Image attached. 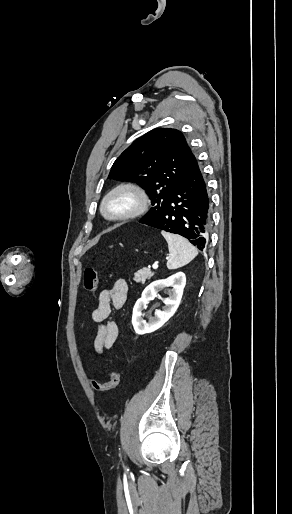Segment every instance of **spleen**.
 <instances>
[{"instance_id": "3e777b00", "label": "spleen", "mask_w": 292, "mask_h": 514, "mask_svg": "<svg viewBox=\"0 0 292 514\" xmlns=\"http://www.w3.org/2000/svg\"><path fill=\"white\" fill-rule=\"evenodd\" d=\"M168 244L169 260L167 262L168 270H177L189 264L198 256L197 248H194L188 240L177 236V234H169V232H161Z\"/></svg>"}]
</instances>
